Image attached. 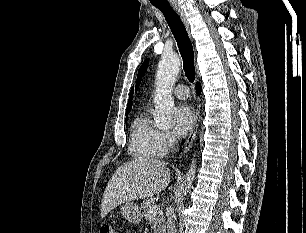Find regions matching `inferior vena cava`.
<instances>
[{"label": "inferior vena cava", "mask_w": 306, "mask_h": 233, "mask_svg": "<svg viewBox=\"0 0 306 233\" xmlns=\"http://www.w3.org/2000/svg\"><path fill=\"white\" fill-rule=\"evenodd\" d=\"M167 233H177L172 217L167 218Z\"/></svg>", "instance_id": "obj_1"}]
</instances>
